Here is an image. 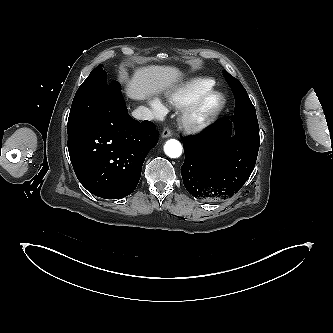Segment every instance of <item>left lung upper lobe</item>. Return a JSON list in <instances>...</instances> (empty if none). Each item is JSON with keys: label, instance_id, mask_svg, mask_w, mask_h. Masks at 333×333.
<instances>
[{"label": "left lung upper lobe", "instance_id": "1", "mask_svg": "<svg viewBox=\"0 0 333 333\" xmlns=\"http://www.w3.org/2000/svg\"><path fill=\"white\" fill-rule=\"evenodd\" d=\"M223 74L225 76V78L227 79L228 83L230 84L234 96L236 98L238 97H242L245 98L249 103H250V99L248 98L247 92L244 89V87L242 86V84L233 76H231L226 70L223 71Z\"/></svg>", "mask_w": 333, "mask_h": 333}]
</instances>
